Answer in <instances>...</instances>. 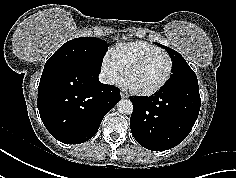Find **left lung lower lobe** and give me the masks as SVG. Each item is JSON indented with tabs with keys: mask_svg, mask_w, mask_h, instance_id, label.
<instances>
[{
	"mask_svg": "<svg viewBox=\"0 0 236 178\" xmlns=\"http://www.w3.org/2000/svg\"><path fill=\"white\" fill-rule=\"evenodd\" d=\"M135 140L152 151L171 149L191 131L200 110L198 82L166 83L150 97L130 98Z\"/></svg>",
	"mask_w": 236,
	"mask_h": 178,
	"instance_id": "0a47b994",
	"label": "left lung lower lobe"
}]
</instances>
